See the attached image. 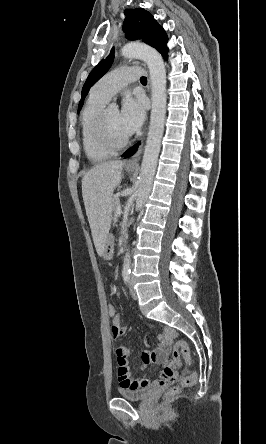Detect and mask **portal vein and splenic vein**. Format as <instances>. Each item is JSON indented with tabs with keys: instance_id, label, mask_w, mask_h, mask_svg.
<instances>
[{
	"instance_id": "1",
	"label": "portal vein and splenic vein",
	"mask_w": 266,
	"mask_h": 444,
	"mask_svg": "<svg viewBox=\"0 0 266 444\" xmlns=\"http://www.w3.org/2000/svg\"><path fill=\"white\" fill-rule=\"evenodd\" d=\"M117 215L118 216H120L121 215V206L119 205L118 207H117Z\"/></svg>"
}]
</instances>
